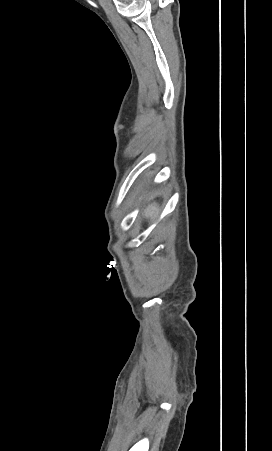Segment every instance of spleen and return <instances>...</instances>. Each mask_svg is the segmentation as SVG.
Listing matches in <instances>:
<instances>
[{
  "label": "spleen",
  "instance_id": "spleen-1",
  "mask_svg": "<svg viewBox=\"0 0 272 451\" xmlns=\"http://www.w3.org/2000/svg\"><path fill=\"white\" fill-rule=\"evenodd\" d=\"M158 206L157 204H151V206H148L144 216L145 218H148V220H153V218H156L158 216Z\"/></svg>",
  "mask_w": 272,
  "mask_h": 451
}]
</instances>
